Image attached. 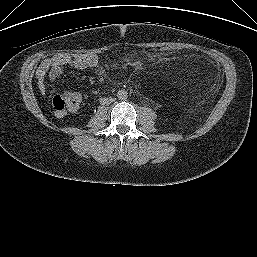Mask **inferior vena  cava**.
<instances>
[{"label":"inferior vena cava","mask_w":257,"mask_h":257,"mask_svg":"<svg viewBox=\"0 0 257 257\" xmlns=\"http://www.w3.org/2000/svg\"><path fill=\"white\" fill-rule=\"evenodd\" d=\"M113 101H114V98H105V99L103 100V102L106 103V104H110V103L113 102Z\"/></svg>","instance_id":"602c4592"}]
</instances>
